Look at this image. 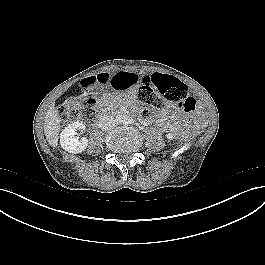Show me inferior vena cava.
Masks as SVG:
<instances>
[{"mask_svg":"<svg viewBox=\"0 0 265 265\" xmlns=\"http://www.w3.org/2000/svg\"><path fill=\"white\" fill-rule=\"evenodd\" d=\"M115 126H116V120L114 119V117L112 115L104 114L99 119V127L103 131H109V130L113 129Z\"/></svg>","mask_w":265,"mask_h":265,"instance_id":"602c4592","label":"inferior vena cava"}]
</instances>
